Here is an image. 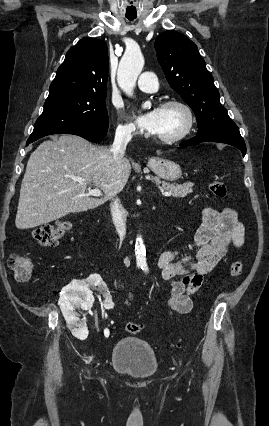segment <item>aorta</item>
<instances>
[{
  "label": "aorta",
  "instance_id": "aorta-1",
  "mask_svg": "<svg viewBox=\"0 0 269 426\" xmlns=\"http://www.w3.org/2000/svg\"><path fill=\"white\" fill-rule=\"evenodd\" d=\"M144 66V58L140 50H128L122 57L117 72V81L122 90L132 96L137 78L141 73ZM150 103L146 102L143 108L149 106ZM135 255L137 264H146V249L141 236H137L135 244Z\"/></svg>",
  "mask_w": 269,
  "mask_h": 426
}]
</instances>
